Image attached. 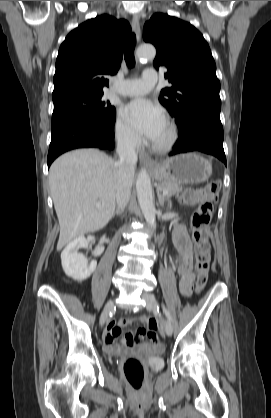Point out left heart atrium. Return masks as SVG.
I'll list each match as a JSON object with an SVG mask.
<instances>
[{
    "mask_svg": "<svg viewBox=\"0 0 271 418\" xmlns=\"http://www.w3.org/2000/svg\"><path fill=\"white\" fill-rule=\"evenodd\" d=\"M128 123L141 135L154 141L166 124L163 111L151 101L136 99L125 108Z\"/></svg>",
    "mask_w": 271,
    "mask_h": 418,
    "instance_id": "obj_1",
    "label": "left heart atrium"
}]
</instances>
